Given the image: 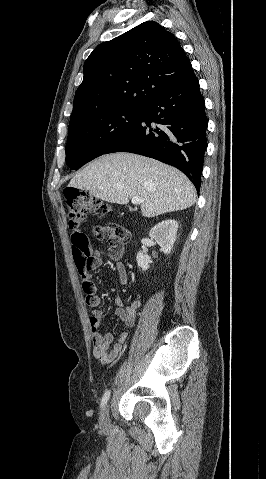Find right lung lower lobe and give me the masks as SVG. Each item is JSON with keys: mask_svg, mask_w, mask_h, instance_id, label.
I'll use <instances>...</instances> for the list:
<instances>
[{"mask_svg": "<svg viewBox=\"0 0 266 479\" xmlns=\"http://www.w3.org/2000/svg\"><path fill=\"white\" fill-rule=\"evenodd\" d=\"M205 101L195 74L153 96L139 120L104 154L131 152L181 170L199 193L207 148Z\"/></svg>", "mask_w": 266, "mask_h": 479, "instance_id": "1", "label": "right lung lower lobe"}]
</instances>
